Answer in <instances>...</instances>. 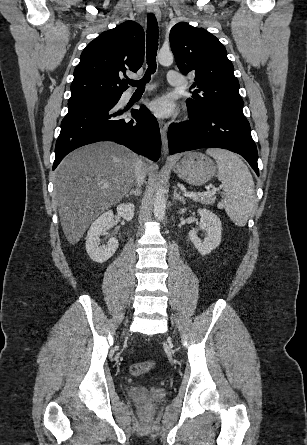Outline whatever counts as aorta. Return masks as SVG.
Returning <instances> with one entry per match:
<instances>
[{
	"label": "aorta",
	"instance_id": "762f6f07",
	"mask_svg": "<svg viewBox=\"0 0 307 445\" xmlns=\"http://www.w3.org/2000/svg\"><path fill=\"white\" fill-rule=\"evenodd\" d=\"M157 60H159L160 64H163V66H170L173 62V54L171 50H163V48H161V50L157 52ZM164 192L165 190L163 186H159L154 198V216L157 220H161V218H164L165 216L166 200Z\"/></svg>",
	"mask_w": 307,
	"mask_h": 445
}]
</instances>
